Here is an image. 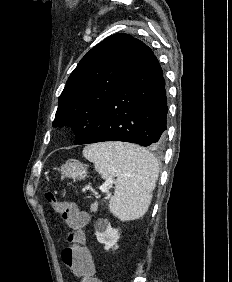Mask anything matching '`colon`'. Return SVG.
Wrapping results in <instances>:
<instances>
[{
    "label": "colon",
    "instance_id": "5ec220e1",
    "mask_svg": "<svg viewBox=\"0 0 232 282\" xmlns=\"http://www.w3.org/2000/svg\"><path fill=\"white\" fill-rule=\"evenodd\" d=\"M47 201L61 214L70 228L67 240L69 246L62 252L63 262L82 278L81 282H102L94 276V267L89 250L84 246V227L87 224V216L79 211L75 203L62 202L56 198L52 191L45 194Z\"/></svg>",
    "mask_w": 232,
    "mask_h": 282
}]
</instances>
